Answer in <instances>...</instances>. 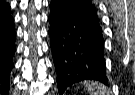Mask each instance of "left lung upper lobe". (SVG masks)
<instances>
[{
	"instance_id": "1",
	"label": "left lung upper lobe",
	"mask_w": 135,
	"mask_h": 95,
	"mask_svg": "<svg viewBox=\"0 0 135 95\" xmlns=\"http://www.w3.org/2000/svg\"><path fill=\"white\" fill-rule=\"evenodd\" d=\"M55 6L82 17L98 21L97 11L91 0H52Z\"/></svg>"
}]
</instances>
